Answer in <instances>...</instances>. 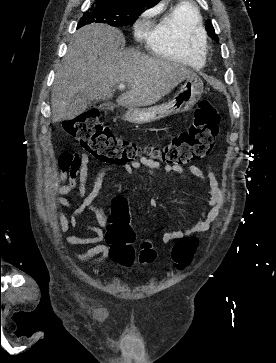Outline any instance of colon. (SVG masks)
Segmentation results:
<instances>
[{
	"label": "colon",
	"instance_id": "5ec220e1",
	"mask_svg": "<svg viewBox=\"0 0 276 363\" xmlns=\"http://www.w3.org/2000/svg\"><path fill=\"white\" fill-rule=\"evenodd\" d=\"M219 124L217 109L209 101L203 100L195 110L191 126L172 137L163 147L154 144L141 146L118 138L101 124L99 113L95 110L64 121L63 129L77 139L89 154L108 163L135 162L145 153L147 157L159 158L165 164L182 166L210 153ZM106 238L110 244V258L122 266H131L136 258L142 265L150 264L156 258V251L148 240L140 244L136 256V236L128 215L110 219ZM197 245L198 239L195 236L180 238L172 249V269L180 271L187 268L193 260Z\"/></svg>",
	"mask_w": 276,
	"mask_h": 363
}]
</instances>
